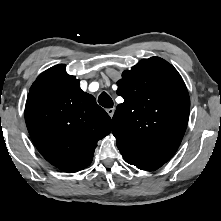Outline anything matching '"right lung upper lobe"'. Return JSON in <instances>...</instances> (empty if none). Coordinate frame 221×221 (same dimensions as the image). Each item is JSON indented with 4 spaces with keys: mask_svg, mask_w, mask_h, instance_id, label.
Instances as JSON below:
<instances>
[{
    "mask_svg": "<svg viewBox=\"0 0 221 221\" xmlns=\"http://www.w3.org/2000/svg\"><path fill=\"white\" fill-rule=\"evenodd\" d=\"M80 81L59 64L38 76L25 106L29 134L41 155L65 172L86 168L97 142L111 132V118Z\"/></svg>",
    "mask_w": 221,
    "mask_h": 221,
    "instance_id": "right-lung-upper-lobe-1",
    "label": "right lung upper lobe"
}]
</instances>
